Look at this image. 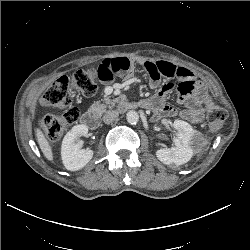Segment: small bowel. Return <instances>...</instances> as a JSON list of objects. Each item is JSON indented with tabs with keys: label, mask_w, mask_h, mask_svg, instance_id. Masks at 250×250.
I'll return each mask as SVG.
<instances>
[{
	"label": "small bowel",
	"mask_w": 250,
	"mask_h": 250,
	"mask_svg": "<svg viewBox=\"0 0 250 250\" xmlns=\"http://www.w3.org/2000/svg\"><path fill=\"white\" fill-rule=\"evenodd\" d=\"M143 66L150 75L151 88H160L153 97L142 100L141 106L152 108L159 117L179 114L192 123L202 120L206 91L191 70L167 61H145ZM97 73L99 80L105 84L113 81L116 76L129 80L134 73V62L128 57L106 59L98 66ZM162 78L179 80L178 101L184 105L182 110L166 103V95L172 89V84L165 83L160 86Z\"/></svg>",
	"instance_id": "c3829d8e"
}]
</instances>
